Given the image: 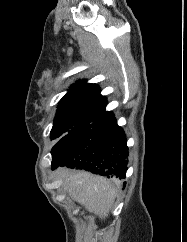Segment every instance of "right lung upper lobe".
<instances>
[{"mask_svg":"<svg viewBox=\"0 0 187 242\" xmlns=\"http://www.w3.org/2000/svg\"><path fill=\"white\" fill-rule=\"evenodd\" d=\"M106 104L107 99L100 94V89L96 84L78 81L70 87L67 94L59 101L58 108L81 105L105 109Z\"/></svg>","mask_w":187,"mask_h":242,"instance_id":"right-lung-upper-lobe-1","label":"right lung upper lobe"}]
</instances>
